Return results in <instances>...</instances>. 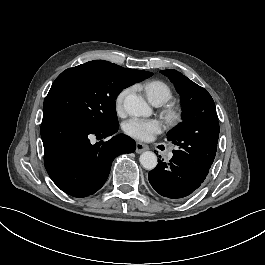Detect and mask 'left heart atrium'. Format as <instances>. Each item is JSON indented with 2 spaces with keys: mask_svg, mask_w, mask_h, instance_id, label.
Returning a JSON list of instances; mask_svg holds the SVG:
<instances>
[{
  "mask_svg": "<svg viewBox=\"0 0 265 265\" xmlns=\"http://www.w3.org/2000/svg\"><path fill=\"white\" fill-rule=\"evenodd\" d=\"M124 131L127 135L137 140L149 141L154 135L162 131V124L158 120L131 119L125 126Z\"/></svg>",
  "mask_w": 265,
  "mask_h": 265,
  "instance_id": "1",
  "label": "left heart atrium"
}]
</instances>
